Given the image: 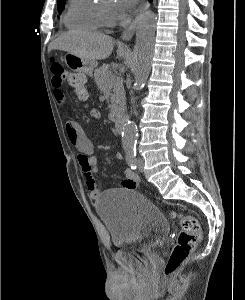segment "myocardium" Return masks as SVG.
Masks as SVG:
<instances>
[{
	"mask_svg": "<svg viewBox=\"0 0 245 300\" xmlns=\"http://www.w3.org/2000/svg\"><path fill=\"white\" fill-rule=\"evenodd\" d=\"M102 13H103V21L107 25H113L116 22L117 18L115 14L108 7H103Z\"/></svg>",
	"mask_w": 245,
	"mask_h": 300,
	"instance_id": "f54148a6",
	"label": "myocardium"
}]
</instances>
